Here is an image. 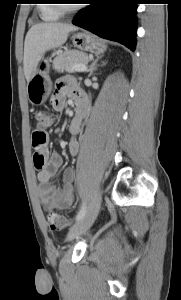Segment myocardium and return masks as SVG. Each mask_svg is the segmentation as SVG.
<instances>
[{
    "label": "myocardium",
    "mask_w": 181,
    "mask_h": 300,
    "mask_svg": "<svg viewBox=\"0 0 181 300\" xmlns=\"http://www.w3.org/2000/svg\"><path fill=\"white\" fill-rule=\"evenodd\" d=\"M54 1L57 2V3H55V7L61 14H67V13L77 10L76 6L67 5V3H61L62 1H59V0H54Z\"/></svg>",
    "instance_id": "obj_1"
}]
</instances>
